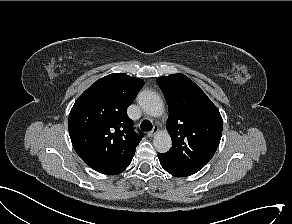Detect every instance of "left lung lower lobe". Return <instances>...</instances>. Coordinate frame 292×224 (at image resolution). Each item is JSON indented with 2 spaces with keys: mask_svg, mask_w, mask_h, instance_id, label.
I'll use <instances>...</instances> for the list:
<instances>
[{
  "mask_svg": "<svg viewBox=\"0 0 292 224\" xmlns=\"http://www.w3.org/2000/svg\"><path fill=\"white\" fill-rule=\"evenodd\" d=\"M158 158L160 160L161 166L171 175L176 176V177H185V176L192 175V173H189L187 171L181 170V169L173 166L172 164L168 163L167 161L161 159L159 156H158Z\"/></svg>",
  "mask_w": 292,
  "mask_h": 224,
  "instance_id": "0a47b994",
  "label": "left lung lower lobe"
}]
</instances>
